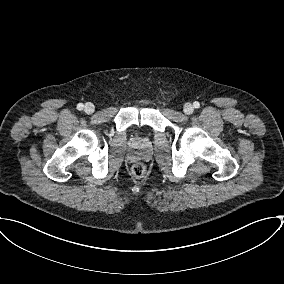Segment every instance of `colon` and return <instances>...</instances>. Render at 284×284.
<instances>
[{
	"instance_id": "obj_1",
	"label": "colon",
	"mask_w": 284,
	"mask_h": 284,
	"mask_svg": "<svg viewBox=\"0 0 284 284\" xmlns=\"http://www.w3.org/2000/svg\"><path fill=\"white\" fill-rule=\"evenodd\" d=\"M132 173L137 178H142L146 175V167L142 163H136L132 167Z\"/></svg>"
}]
</instances>
